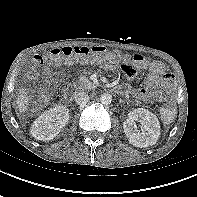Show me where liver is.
<instances>
[{
  "label": "liver",
  "instance_id": "obj_1",
  "mask_svg": "<svg viewBox=\"0 0 197 197\" xmlns=\"http://www.w3.org/2000/svg\"><path fill=\"white\" fill-rule=\"evenodd\" d=\"M29 104V97L24 88L18 90V97L16 100V105L19 113H24L27 110V105Z\"/></svg>",
  "mask_w": 197,
  "mask_h": 197
}]
</instances>
